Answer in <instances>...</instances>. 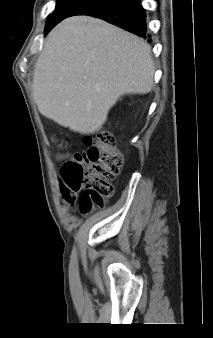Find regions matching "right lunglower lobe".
Returning a JSON list of instances; mask_svg holds the SVG:
<instances>
[{"instance_id":"obj_1","label":"right lung lower lobe","mask_w":213,"mask_h":338,"mask_svg":"<svg viewBox=\"0 0 213 338\" xmlns=\"http://www.w3.org/2000/svg\"><path fill=\"white\" fill-rule=\"evenodd\" d=\"M75 15L94 16L143 38L149 37L146 12L140 0H92L77 8L69 17Z\"/></svg>"}]
</instances>
